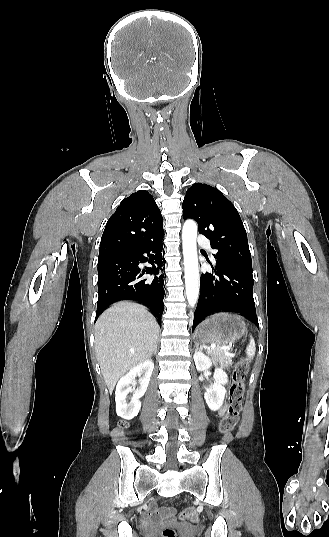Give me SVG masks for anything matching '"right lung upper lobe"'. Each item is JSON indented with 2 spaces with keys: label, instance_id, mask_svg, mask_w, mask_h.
Here are the masks:
<instances>
[{
  "label": "right lung upper lobe",
  "instance_id": "cb5924a9",
  "mask_svg": "<svg viewBox=\"0 0 329 537\" xmlns=\"http://www.w3.org/2000/svg\"><path fill=\"white\" fill-rule=\"evenodd\" d=\"M162 234L163 218L155 200L147 191L139 190L125 198L109 218L99 257L129 252Z\"/></svg>",
  "mask_w": 329,
  "mask_h": 537
}]
</instances>
